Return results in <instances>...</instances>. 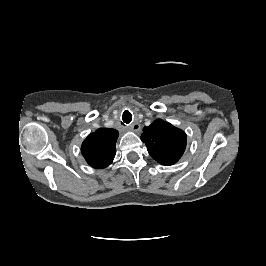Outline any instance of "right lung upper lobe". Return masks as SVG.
<instances>
[{
	"instance_id": "cb5924a9",
	"label": "right lung upper lobe",
	"mask_w": 266,
	"mask_h": 266,
	"mask_svg": "<svg viewBox=\"0 0 266 266\" xmlns=\"http://www.w3.org/2000/svg\"><path fill=\"white\" fill-rule=\"evenodd\" d=\"M118 131L100 128L88 135L81 147V152L87 163L97 169L110 165L115 157V144Z\"/></svg>"
}]
</instances>
